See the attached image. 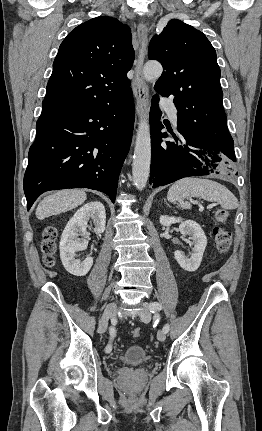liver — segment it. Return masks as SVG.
<instances>
[{"instance_id": "obj_1", "label": "liver", "mask_w": 262, "mask_h": 431, "mask_svg": "<svg viewBox=\"0 0 262 431\" xmlns=\"http://www.w3.org/2000/svg\"><path fill=\"white\" fill-rule=\"evenodd\" d=\"M87 195L83 190H61L46 196L36 208V217H47L72 210L85 202Z\"/></svg>"}]
</instances>
